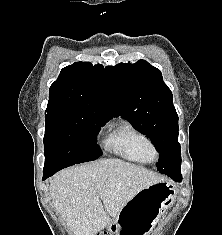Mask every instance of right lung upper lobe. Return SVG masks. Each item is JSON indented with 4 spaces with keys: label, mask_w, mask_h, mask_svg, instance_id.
<instances>
[{
    "label": "right lung upper lobe",
    "mask_w": 222,
    "mask_h": 235,
    "mask_svg": "<svg viewBox=\"0 0 222 235\" xmlns=\"http://www.w3.org/2000/svg\"><path fill=\"white\" fill-rule=\"evenodd\" d=\"M74 111L118 116L107 70L100 64L76 62L63 68L50 86L46 114Z\"/></svg>",
    "instance_id": "right-lung-upper-lobe-1"
}]
</instances>
